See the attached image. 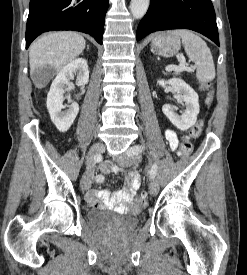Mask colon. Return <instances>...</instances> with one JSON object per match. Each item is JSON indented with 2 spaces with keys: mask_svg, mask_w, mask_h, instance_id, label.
I'll return each mask as SVG.
<instances>
[{
  "mask_svg": "<svg viewBox=\"0 0 247 275\" xmlns=\"http://www.w3.org/2000/svg\"><path fill=\"white\" fill-rule=\"evenodd\" d=\"M202 88L207 91V103L210 104L213 100V94L211 85L207 82L202 83ZM203 129V122H197L189 131L188 136L182 141L180 144L179 151L177 153L179 158L188 157L193 150L192 143L190 142V138L198 137ZM137 202L139 207H145L147 204V194L145 192H141L137 198Z\"/></svg>",
  "mask_w": 247,
  "mask_h": 275,
  "instance_id": "5ec220e1",
  "label": "colon"
}]
</instances>
